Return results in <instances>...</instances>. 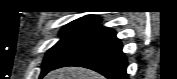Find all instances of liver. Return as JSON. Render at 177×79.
<instances>
[{
    "mask_svg": "<svg viewBox=\"0 0 177 79\" xmlns=\"http://www.w3.org/2000/svg\"><path fill=\"white\" fill-rule=\"evenodd\" d=\"M45 79H103V77L89 69L80 67H64L51 71Z\"/></svg>",
    "mask_w": 177,
    "mask_h": 79,
    "instance_id": "liver-1",
    "label": "liver"
}]
</instances>
